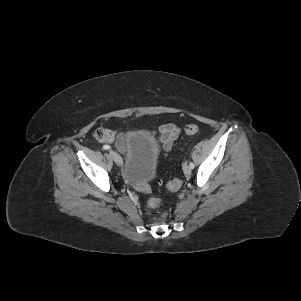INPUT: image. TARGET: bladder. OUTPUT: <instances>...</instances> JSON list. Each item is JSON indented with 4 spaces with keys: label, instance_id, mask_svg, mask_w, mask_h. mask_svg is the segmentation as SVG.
<instances>
[{
    "label": "bladder",
    "instance_id": "1",
    "mask_svg": "<svg viewBox=\"0 0 301 301\" xmlns=\"http://www.w3.org/2000/svg\"><path fill=\"white\" fill-rule=\"evenodd\" d=\"M157 147L143 131H134L128 136L125 155L124 177L134 184L147 182L155 173Z\"/></svg>",
    "mask_w": 301,
    "mask_h": 301
}]
</instances>
